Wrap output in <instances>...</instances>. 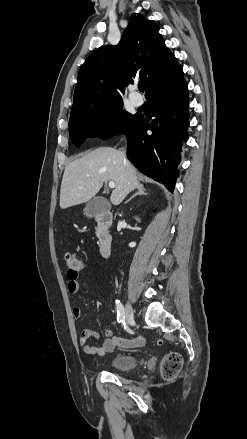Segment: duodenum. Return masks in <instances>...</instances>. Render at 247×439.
I'll list each match as a JSON object with an SVG mask.
<instances>
[{
  "mask_svg": "<svg viewBox=\"0 0 247 439\" xmlns=\"http://www.w3.org/2000/svg\"><path fill=\"white\" fill-rule=\"evenodd\" d=\"M97 222V237L99 242V250L102 256L107 257L111 252L112 236L110 233V226L112 224V214L110 212H103L95 217Z\"/></svg>",
  "mask_w": 247,
  "mask_h": 439,
  "instance_id": "duodenum-1",
  "label": "duodenum"
}]
</instances>
